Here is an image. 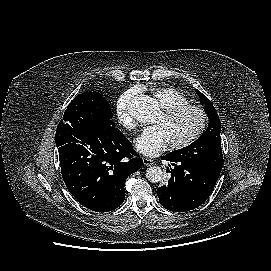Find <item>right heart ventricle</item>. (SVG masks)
Listing matches in <instances>:
<instances>
[{"label": "right heart ventricle", "instance_id": "obj_1", "mask_svg": "<svg viewBox=\"0 0 271 271\" xmlns=\"http://www.w3.org/2000/svg\"><path fill=\"white\" fill-rule=\"evenodd\" d=\"M150 92L161 108L188 103V98L173 87L156 86Z\"/></svg>", "mask_w": 271, "mask_h": 271}]
</instances>
